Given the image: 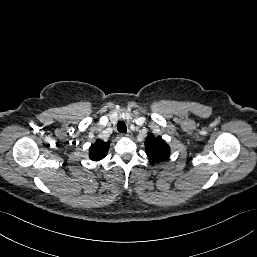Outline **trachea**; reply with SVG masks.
<instances>
[{"label":"trachea","instance_id":"trachea-1","mask_svg":"<svg viewBox=\"0 0 257 257\" xmlns=\"http://www.w3.org/2000/svg\"><path fill=\"white\" fill-rule=\"evenodd\" d=\"M117 130L121 133H126L127 131L126 124L123 121H119L117 123Z\"/></svg>","mask_w":257,"mask_h":257}]
</instances>
